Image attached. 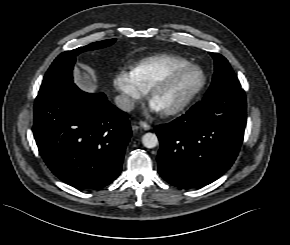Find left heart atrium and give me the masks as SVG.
Wrapping results in <instances>:
<instances>
[{
	"label": "left heart atrium",
	"mask_w": 290,
	"mask_h": 245,
	"mask_svg": "<svg viewBox=\"0 0 290 245\" xmlns=\"http://www.w3.org/2000/svg\"><path fill=\"white\" fill-rule=\"evenodd\" d=\"M150 110L153 111V112H159V111H162L161 108L151 100V103H150Z\"/></svg>",
	"instance_id": "left-heart-atrium-1"
}]
</instances>
